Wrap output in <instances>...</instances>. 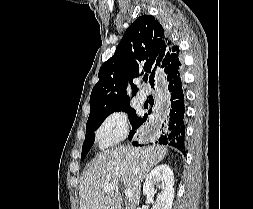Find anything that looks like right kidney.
<instances>
[{"label":"right kidney","mask_w":253,"mask_h":209,"mask_svg":"<svg viewBox=\"0 0 253 209\" xmlns=\"http://www.w3.org/2000/svg\"><path fill=\"white\" fill-rule=\"evenodd\" d=\"M173 185V171L168 165L162 164L147 175L143 185V194L150 199L154 196L155 186L160 187L161 193L157 196L155 209H172L175 192Z\"/></svg>","instance_id":"obj_1"}]
</instances>
